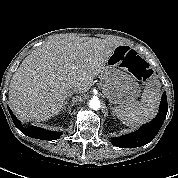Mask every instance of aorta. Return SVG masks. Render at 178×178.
Listing matches in <instances>:
<instances>
[{
	"label": "aorta",
	"mask_w": 178,
	"mask_h": 178,
	"mask_svg": "<svg viewBox=\"0 0 178 178\" xmlns=\"http://www.w3.org/2000/svg\"><path fill=\"white\" fill-rule=\"evenodd\" d=\"M89 106L94 110H98L100 108V100L98 98H92L89 101Z\"/></svg>",
	"instance_id": "1"
}]
</instances>
